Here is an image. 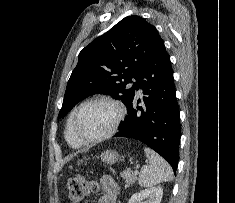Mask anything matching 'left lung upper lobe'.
Listing matches in <instances>:
<instances>
[{
  "label": "left lung upper lobe",
  "mask_w": 235,
  "mask_h": 203,
  "mask_svg": "<svg viewBox=\"0 0 235 203\" xmlns=\"http://www.w3.org/2000/svg\"><path fill=\"white\" fill-rule=\"evenodd\" d=\"M160 39L153 25L133 15L92 41L79 54L58 118L97 93L120 99L128 107L135 95L136 83L131 88L127 84L139 79Z\"/></svg>",
  "instance_id": "left-lung-upper-lobe-1"
}]
</instances>
